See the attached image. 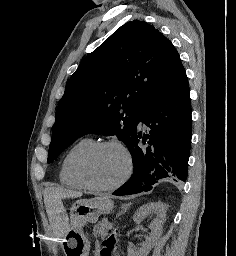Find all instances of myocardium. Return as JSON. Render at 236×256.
Masks as SVG:
<instances>
[{"label": "myocardium", "mask_w": 236, "mask_h": 256, "mask_svg": "<svg viewBox=\"0 0 236 256\" xmlns=\"http://www.w3.org/2000/svg\"><path fill=\"white\" fill-rule=\"evenodd\" d=\"M107 147L118 148L123 153L126 160V169L122 178L116 184L109 187H98L94 185L89 178L88 165L94 155ZM133 168V157L130 150L120 141L106 140L95 143L93 147L86 154L83 155L79 164V177L85 188H87L88 190L98 194H106L112 193L124 186L131 178L133 174Z\"/></svg>", "instance_id": "myocardium-1"}]
</instances>
